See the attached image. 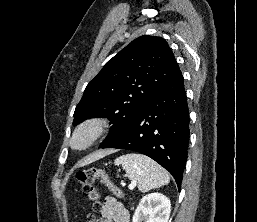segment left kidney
I'll use <instances>...</instances> for the list:
<instances>
[{"label": "left kidney", "instance_id": "5707ae66", "mask_svg": "<svg viewBox=\"0 0 257 222\" xmlns=\"http://www.w3.org/2000/svg\"><path fill=\"white\" fill-rule=\"evenodd\" d=\"M171 212L170 200L161 193L142 197L132 222H168Z\"/></svg>", "mask_w": 257, "mask_h": 222}]
</instances>
